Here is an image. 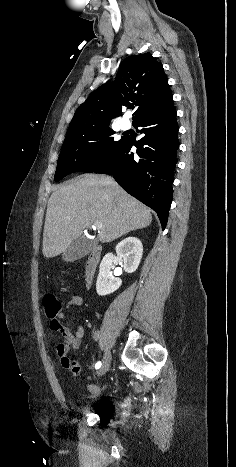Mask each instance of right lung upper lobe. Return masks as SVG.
Returning <instances> with one entry per match:
<instances>
[{
	"instance_id": "1",
	"label": "right lung upper lobe",
	"mask_w": 236,
	"mask_h": 467,
	"mask_svg": "<svg viewBox=\"0 0 236 467\" xmlns=\"http://www.w3.org/2000/svg\"><path fill=\"white\" fill-rule=\"evenodd\" d=\"M170 98L162 64L149 53L129 56L121 63L115 81L101 85L77 109L67 134L109 127L111 120L120 115L121 106L131 102L137 106L134 123Z\"/></svg>"
}]
</instances>
